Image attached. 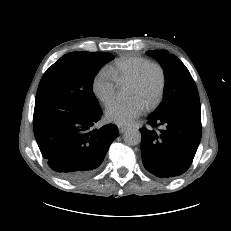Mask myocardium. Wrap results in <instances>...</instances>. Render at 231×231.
<instances>
[{
    "mask_svg": "<svg viewBox=\"0 0 231 231\" xmlns=\"http://www.w3.org/2000/svg\"><path fill=\"white\" fill-rule=\"evenodd\" d=\"M153 67L157 68L159 70L160 85H159V89H158L156 96L153 98V100L151 102H149L146 105L147 109H154L155 107H157L163 98L165 88H166V83H167V76H166V71H165L164 67L159 62L150 61L139 70L137 75L134 77V79L129 84L131 87L140 86L142 84L148 70L150 68H153Z\"/></svg>",
    "mask_w": 231,
    "mask_h": 231,
    "instance_id": "1",
    "label": "myocardium"
}]
</instances>
